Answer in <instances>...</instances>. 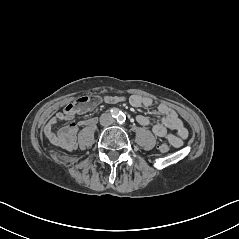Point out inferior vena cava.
Returning <instances> with one entry per match:
<instances>
[{"label":"inferior vena cava","mask_w":239,"mask_h":239,"mask_svg":"<svg viewBox=\"0 0 239 239\" xmlns=\"http://www.w3.org/2000/svg\"><path fill=\"white\" fill-rule=\"evenodd\" d=\"M113 122H114V119L111 116V114H109V113H103L100 116V124L102 126H109V125L113 124Z\"/></svg>","instance_id":"obj_1"}]
</instances>
